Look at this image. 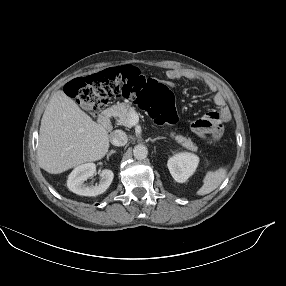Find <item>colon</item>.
Returning a JSON list of instances; mask_svg holds the SVG:
<instances>
[{
	"label": "colon",
	"instance_id": "5ec220e1",
	"mask_svg": "<svg viewBox=\"0 0 286 286\" xmlns=\"http://www.w3.org/2000/svg\"><path fill=\"white\" fill-rule=\"evenodd\" d=\"M67 92L90 114L97 113L113 97H136L159 124L174 123L177 120L174 96L168 86L143 76L132 66L110 68L75 79L68 84ZM212 112L197 119L192 129L197 135L213 137L214 142L221 137L224 124L220 115Z\"/></svg>",
	"mask_w": 286,
	"mask_h": 286
}]
</instances>
